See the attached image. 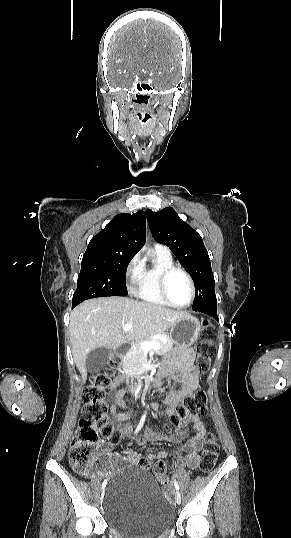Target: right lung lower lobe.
Instances as JSON below:
<instances>
[{
  "label": "right lung lower lobe",
  "mask_w": 291,
  "mask_h": 538,
  "mask_svg": "<svg viewBox=\"0 0 291 538\" xmlns=\"http://www.w3.org/2000/svg\"><path fill=\"white\" fill-rule=\"evenodd\" d=\"M78 304H72V308H74L75 306H77Z\"/></svg>",
  "instance_id": "obj_1"
}]
</instances>
